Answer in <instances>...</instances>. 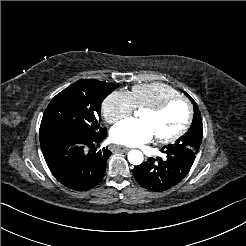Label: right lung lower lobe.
I'll use <instances>...</instances> for the list:
<instances>
[{"label":"right lung lower lobe","instance_id":"obj_1","mask_svg":"<svg viewBox=\"0 0 246 246\" xmlns=\"http://www.w3.org/2000/svg\"><path fill=\"white\" fill-rule=\"evenodd\" d=\"M106 136V129L93 135L48 130L40 132V146L55 178L70 189L85 191L96 186L105 175L106 161L112 153L107 147L98 150L95 144Z\"/></svg>","mask_w":246,"mask_h":246}]
</instances>
